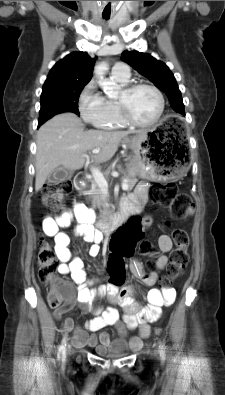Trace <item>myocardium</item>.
<instances>
[{"label": "myocardium", "instance_id": "f54148a6", "mask_svg": "<svg viewBox=\"0 0 225 395\" xmlns=\"http://www.w3.org/2000/svg\"><path fill=\"white\" fill-rule=\"evenodd\" d=\"M140 88H148L152 90L157 96L159 102V109L156 117L152 121L146 123L134 120L129 113L127 104V98ZM121 93L124 95V98H119L117 100V105L119 108L121 119L126 125L137 128H149L155 126L161 120L165 109V101L162 92L155 85L146 82L133 83L125 86L122 89Z\"/></svg>", "mask_w": 225, "mask_h": 395}]
</instances>
